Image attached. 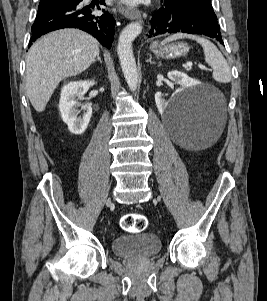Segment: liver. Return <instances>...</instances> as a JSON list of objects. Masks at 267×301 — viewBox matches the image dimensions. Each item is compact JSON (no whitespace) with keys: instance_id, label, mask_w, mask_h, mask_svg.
<instances>
[{"instance_id":"liver-1","label":"liver","mask_w":267,"mask_h":301,"mask_svg":"<svg viewBox=\"0 0 267 301\" xmlns=\"http://www.w3.org/2000/svg\"><path fill=\"white\" fill-rule=\"evenodd\" d=\"M99 42L78 29H61L37 40L27 54L26 89L37 112H43L58 84L90 67Z\"/></svg>"}]
</instances>
